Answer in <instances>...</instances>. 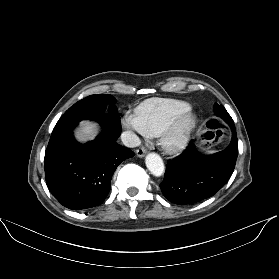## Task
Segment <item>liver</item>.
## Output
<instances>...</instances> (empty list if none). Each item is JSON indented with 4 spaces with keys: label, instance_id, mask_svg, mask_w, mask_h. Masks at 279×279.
<instances>
[{
    "label": "liver",
    "instance_id": "liver-1",
    "mask_svg": "<svg viewBox=\"0 0 279 279\" xmlns=\"http://www.w3.org/2000/svg\"><path fill=\"white\" fill-rule=\"evenodd\" d=\"M98 133V128L96 125L90 122L82 123L80 131L76 132V138L80 141H86L88 139H93Z\"/></svg>",
    "mask_w": 279,
    "mask_h": 279
}]
</instances>
